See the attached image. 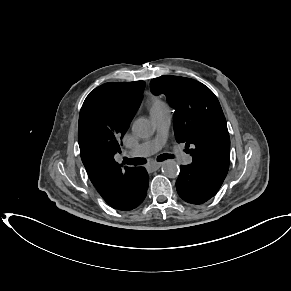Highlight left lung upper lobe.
<instances>
[{
	"instance_id": "left-lung-upper-lobe-1",
	"label": "left lung upper lobe",
	"mask_w": 291,
	"mask_h": 291,
	"mask_svg": "<svg viewBox=\"0 0 291 291\" xmlns=\"http://www.w3.org/2000/svg\"><path fill=\"white\" fill-rule=\"evenodd\" d=\"M150 88L153 94H165L174 107L175 137L191 153V164L224 180L229 168L230 138L214 93L196 80L179 76L154 78Z\"/></svg>"
}]
</instances>
